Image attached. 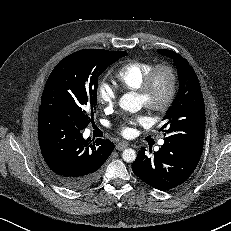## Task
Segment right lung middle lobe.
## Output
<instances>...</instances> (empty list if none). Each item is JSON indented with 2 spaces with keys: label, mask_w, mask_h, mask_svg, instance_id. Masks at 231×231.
Segmentation results:
<instances>
[{
  "label": "right lung middle lobe",
  "mask_w": 231,
  "mask_h": 231,
  "mask_svg": "<svg viewBox=\"0 0 231 231\" xmlns=\"http://www.w3.org/2000/svg\"><path fill=\"white\" fill-rule=\"evenodd\" d=\"M126 55L124 51L84 49L65 57L51 72L41 104L61 110L83 130L93 121L98 77L107 66Z\"/></svg>",
  "instance_id": "right-lung-middle-lobe-1"
}]
</instances>
